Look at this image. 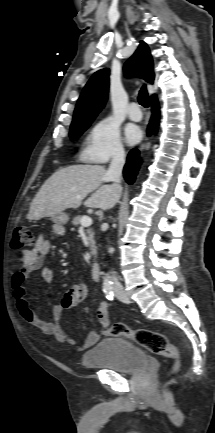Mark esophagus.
Instances as JSON below:
<instances>
[{"label":"esophagus","instance_id":"1","mask_svg":"<svg viewBox=\"0 0 215 433\" xmlns=\"http://www.w3.org/2000/svg\"><path fill=\"white\" fill-rule=\"evenodd\" d=\"M144 145H145V143H144V144H142V147H141V149H143Z\"/></svg>","mask_w":215,"mask_h":433}]
</instances>
